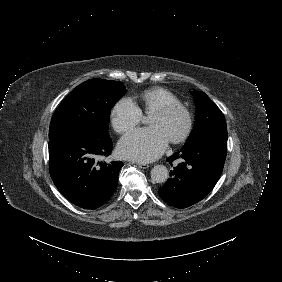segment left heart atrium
I'll return each mask as SVG.
<instances>
[{
	"label": "left heart atrium",
	"mask_w": 282,
	"mask_h": 282,
	"mask_svg": "<svg viewBox=\"0 0 282 282\" xmlns=\"http://www.w3.org/2000/svg\"><path fill=\"white\" fill-rule=\"evenodd\" d=\"M168 137L159 127L135 129L127 132L120 140L119 153L127 159L150 162L166 149Z\"/></svg>",
	"instance_id": "1"
}]
</instances>
